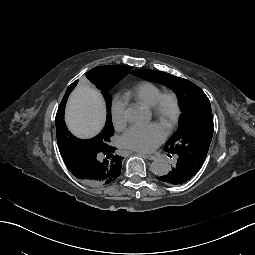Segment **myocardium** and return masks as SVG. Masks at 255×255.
I'll use <instances>...</instances> for the list:
<instances>
[{
	"mask_svg": "<svg viewBox=\"0 0 255 255\" xmlns=\"http://www.w3.org/2000/svg\"><path fill=\"white\" fill-rule=\"evenodd\" d=\"M151 109L155 124L160 125L167 121L165 135L170 136L176 128L179 116V100L177 95L172 91L161 92Z\"/></svg>",
	"mask_w": 255,
	"mask_h": 255,
	"instance_id": "myocardium-1",
	"label": "myocardium"
}]
</instances>
